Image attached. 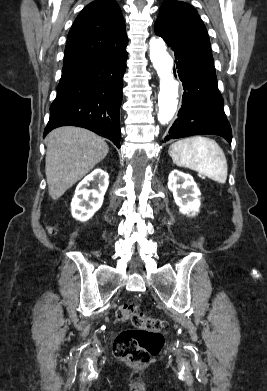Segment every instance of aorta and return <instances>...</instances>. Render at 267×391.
I'll return each instance as SVG.
<instances>
[{"mask_svg":"<svg viewBox=\"0 0 267 391\" xmlns=\"http://www.w3.org/2000/svg\"><path fill=\"white\" fill-rule=\"evenodd\" d=\"M149 46L150 59L160 80L158 120L164 125L169 123L177 110L179 83L173 77V59L167 52L165 42L152 38Z\"/></svg>","mask_w":267,"mask_h":391,"instance_id":"aorta-1","label":"aorta"}]
</instances>
